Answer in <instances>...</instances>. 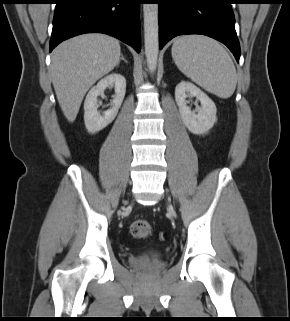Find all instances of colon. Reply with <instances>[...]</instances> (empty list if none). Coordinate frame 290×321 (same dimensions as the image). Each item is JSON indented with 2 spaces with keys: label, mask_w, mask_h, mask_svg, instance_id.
I'll return each mask as SVG.
<instances>
[{
  "label": "colon",
  "mask_w": 290,
  "mask_h": 321,
  "mask_svg": "<svg viewBox=\"0 0 290 321\" xmlns=\"http://www.w3.org/2000/svg\"><path fill=\"white\" fill-rule=\"evenodd\" d=\"M131 234L138 239H146L152 233V228L148 221L144 219H136L130 227Z\"/></svg>",
  "instance_id": "5ec220e1"
}]
</instances>
